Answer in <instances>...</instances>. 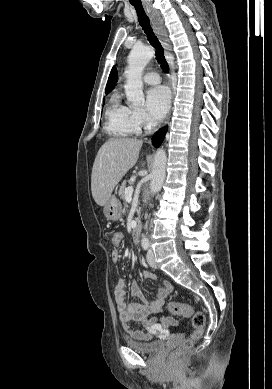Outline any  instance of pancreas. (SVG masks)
Returning <instances> with one entry per match:
<instances>
[{"label":"pancreas","mask_w":272,"mask_h":389,"mask_svg":"<svg viewBox=\"0 0 272 389\" xmlns=\"http://www.w3.org/2000/svg\"><path fill=\"white\" fill-rule=\"evenodd\" d=\"M126 183H128L129 185L132 184V182H131L130 180L124 181V182L122 183V185H121L120 188H119V195L121 196L122 199H124V197H125Z\"/></svg>","instance_id":"pancreas-1"}]
</instances>
